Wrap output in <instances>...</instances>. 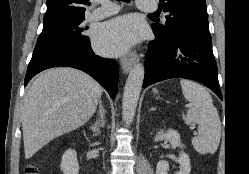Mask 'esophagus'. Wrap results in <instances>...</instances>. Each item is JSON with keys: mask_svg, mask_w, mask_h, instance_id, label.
Returning <instances> with one entry per match:
<instances>
[{"mask_svg": "<svg viewBox=\"0 0 249 174\" xmlns=\"http://www.w3.org/2000/svg\"><path fill=\"white\" fill-rule=\"evenodd\" d=\"M137 61V55L134 52L129 53L127 56L120 59L121 68L125 73H128L135 62Z\"/></svg>", "mask_w": 249, "mask_h": 174, "instance_id": "1", "label": "esophagus"}]
</instances>
